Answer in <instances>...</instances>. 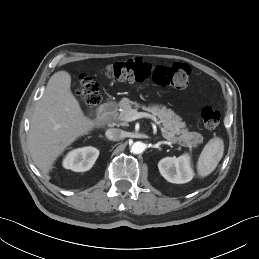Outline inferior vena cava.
<instances>
[{
  "mask_svg": "<svg viewBox=\"0 0 259 259\" xmlns=\"http://www.w3.org/2000/svg\"><path fill=\"white\" fill-rule=\"evenodd\" d=\"M105 135L109 140L119 141L124 137V132L121 129L111 128L106 130Z\"/></svg>",
  "mask_w": 259,
  "mask_h": 259,
  "instance_id": "obj_1",
  "label": "inferior vena cava"
}]
</instances>
